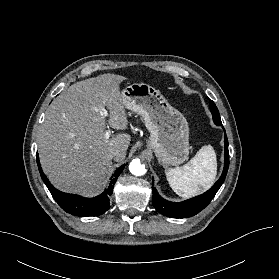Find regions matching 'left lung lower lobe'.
Returning a JSON list of instances; mask_svg holds the SVG:
<instances>
[{
	"mask_svg": "<svg viewBox=\"0 0 279 279\" xmlns=\"http://www.w3.org/2000/svg\"><path fill=\"white\" fill-rule=\"evenodd\" d=\"M225 132V129H224ZM225 164L221 177L214 184V186L209 189L207 192L194 197L192 199L183 201V202H170L163 199L157 192V190L152 187L153 196L152 203L155 209L164 216L172 217V218H184L191 217L199 213L202 209H204L215 196L221 185L224 183L228 167H229V152H228V139L225 134Z\"/></svg>",
	"mask_w": 279,
	"mask_h": 279,
	"instance_id": "1",
	"label": "left lung lower lobe"
}]
</instances>
